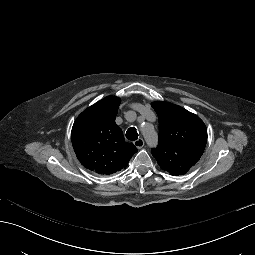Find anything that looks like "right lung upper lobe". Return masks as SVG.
Segmentation results:
<instances>
[{
    "instance_id": "obj_1",
    "label": "right lung upper lobe",
    "mask_w": 255,
    "mask_h": 255,
    "mask_svg": "<svg viewBox=\"0 0 255 255\" xmlns=\"http://www.w3.org/2000/svg\"><path fill=\"white\" fill-rule=\"evenodd\" d=\"M120 98L108 96L83 111L75 120L71 140L80 163L98 174L125 169L137 148L124 140L115 123Z\"/></svg>"
}]
</instances>
